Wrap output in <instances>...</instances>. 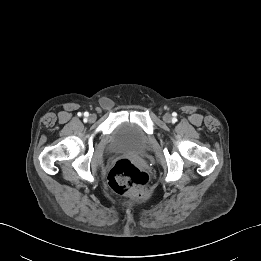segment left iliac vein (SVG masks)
I'll return each instance as SVG.
<instances>
[{
    "label": "left iliac vein",
    "instance_id": "1",
    "mask_svg": "<svg viewBox=\"0 0 261 261\" xmlns=\"http://www.w3.org/2000/svg\"><path fill=\"white\" fill-rule=\"evenodd\" d=\"M163 120L166 122V123H170L171 120H172V116L170 114H165L163 116Z\"/></svg>",
    "mask_w": 261,
    "mask_h": 261
}]
</instances>
